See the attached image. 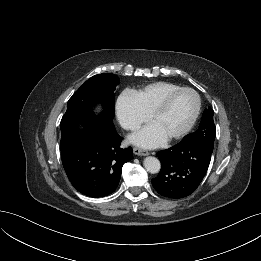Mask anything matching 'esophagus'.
<instances>
[{"mask_svg":"<svg viewBox=\"0 0 261 261\" xmlns=\"http://www.w3.org/2000/svg\"><path fill=\"white\" fill-rule=\"evenodd\" d=\"M133 152L135 155H138V156H147L149 153L141 148H137L135 147L133 149Z\"/></svg>","mask_w":261,"mask_h":261,"instance_id":"esophagus-1","label":"esophagus"}]
</instances>
